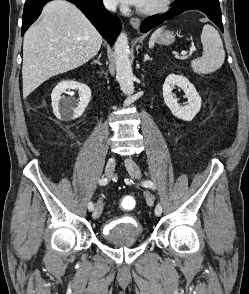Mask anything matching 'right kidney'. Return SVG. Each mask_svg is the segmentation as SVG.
Masks as SVG:
<instances>
[{
    "instance_id": "ca27d5eb",
    "label": "right kidney",
    "mask_w": 249,
    "mask_h": 294,
    "mask_svg": "<svg viewBox=\"0 0 249 294\" xmlns=\"http://www.w3.org/2000/svg\"><path fill=\"white\" fill-rule=\"evenodd\" d=\"M67 89L78 90L80 97L77 102L72 98L62 96V93ZM90 98L91 90L86 84L73 80L61 81L56 85L51 93L53 112L58 119H76L83 114Z\"/></svg>"
}]
</instances>
